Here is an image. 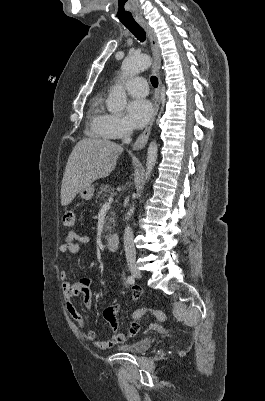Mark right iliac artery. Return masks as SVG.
<instances>
[{"label": "right iliac artery", "instance_id": "obj_1", "mask_svg": "<svg viewBox=\"0 0 265 401\" xmlns=\"http://www.w3.org/2000/svg\"><path fill=\"white\" fill-rule=\"evenodd\" d=\"M127 282L131 285H133L135 283V279L132 275L128 276L127 278Z\"/></svg>", "mask_w": 265, "mask_h": 401}]
</instances>
